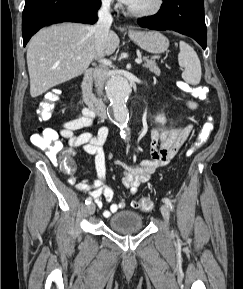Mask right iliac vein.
<instances>
[{"mask_svg": "<svg viewBox=\"0 0 243 289\" xmlns=\"http://www.w3.org/2000/svg\"><path fill=\"white\" fill-rule=\"evenodd\" d=\"M87 212L89 215L94 214V212H95V204L94 203H91L87 206Z\"/></svg>", "mask_w": 243, "mask_h": 289, "instance_id": "obj_1", "label": "right iliac vein"}]
</instances>
